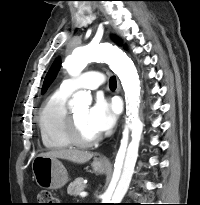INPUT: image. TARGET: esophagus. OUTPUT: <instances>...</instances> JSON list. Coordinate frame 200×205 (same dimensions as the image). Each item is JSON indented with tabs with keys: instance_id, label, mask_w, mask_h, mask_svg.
<instances>
[{
	"instance_id": "34e87169",
	"label": "esophagus",
	"mask_w": 200,
	"mask_h": 205,
	"mask_svg": "<svg viewBox=\"0 0 200 205\" xmlns=\"http://www.w3.org/2000/svg\"><path fill=\"white\" fill-rule=\"evenodd\" d=\"M118 87L120 88L119 83H118ZM100 162H102V163H108V159L105 158V157H102V158H100Z\"/></svg>"
}]
</instances>
